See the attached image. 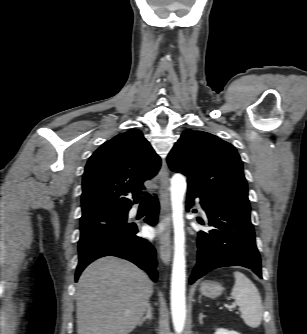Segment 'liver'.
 <instances>
[{
  "label": "liver",
  "mask_w": 307,
  "mask_h": 334,
  "mask_svg": "<svg viewBox=\"0 0 307 334\" xmlns=\"http://www.w3.org/2000/svg\"><path fill=\"white\" fill-rule=\"evenodd\" d=\"M153 287L133 263L114 256L91 263L76 286L78 334H129L139 324Z\"/></svg>",
  "instance_id": "6515ba94"
}]
</instances>
